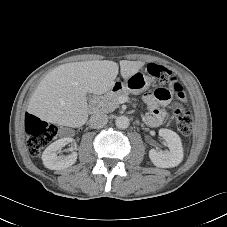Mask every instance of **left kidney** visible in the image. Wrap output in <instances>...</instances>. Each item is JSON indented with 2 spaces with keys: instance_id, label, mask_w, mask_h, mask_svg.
<instances>
[{
  "instance_id": "1",
  "label": "left kidney",
  "mask_w": 227,
  "mask_h": 227,
  "mask_svg": "<svg viewBox=\"0 0 227 227\" xmlns=\"http://www.w3.org/2000/svg\"><path fill=\"white\" fill-rule=\"evenodd\" d=\"M159 135L165 139L169 150L159 152L151 149L149 158L155 166L161 168H172L179 165L183 160V147L179 135L164 128L159 130Z\"/></svg>"
}]
</instances>
